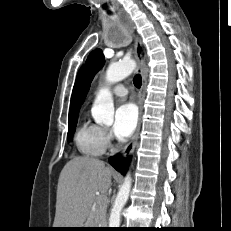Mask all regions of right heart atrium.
Instances as JSON below:
<instances>
[{"instance_id": "obj_1", "label": "right heart atrium", "mask_w": 231, "mask_h": 231, "mask_svg": "<svg viewBox=\"0 0 231 231\" xmlns=\"http://www.w3.org/2000/svg\"><path fill=\"white\" fill-rule=\"evenodd\" d=\"M102 138H103L106 148L111 147L112 134L107 129L102 130Z\"/></svg>"}]
</instances>
